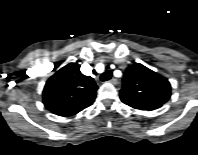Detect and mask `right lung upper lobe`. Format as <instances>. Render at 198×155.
<instances>
[{
	"instance_id": "right-lung-upper-lobe-1",
	"label": "right lung upper lobe",
	"mask_w": 198,
	"mask_h": 155,
	"mask_svg": "<svg viewBox=\"0 0 198 155\" xmlns=\"http://www.w3.org/2000/svg\"><path fill=\"white\" fill-rule=\"evenodd\" d=\"M97 89L93 78L81 73L79 64L69 63L47 81L43 103L56 115H74L94 102Z\"/></svg>"
}]
</instances>
